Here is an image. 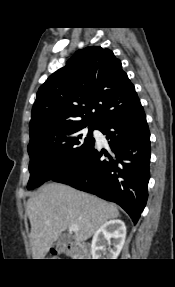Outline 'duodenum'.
<instances>
[{
  "mask_svg": "<svg viewBox=\"0 0 175 287\" xmlns=\"http://www.w3.org/2000/svg\"><path fill=\"white\" fill-rule=\"evenodd\" d=\"M72 252H73V254L77 255V254H80L82 252V250L79 247L74 246L72 248Z\"/></svg>",
  "mask_w": 175,
  "mask_h": 287,
  "instance_id": "obj_1",
  "label": "duodenum"
}]
</instances>
